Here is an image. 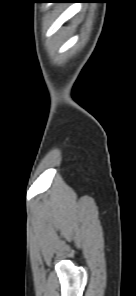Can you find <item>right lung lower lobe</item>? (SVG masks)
<instances>
[{
  "label": "right lung lower lobe",
  "instance_id": "1",
  "mask_svg": "<svg viewBox=\"0 0 136 296\" xmlns=\"http://www.w3.org/2000/svg\"><path fill=\"white\" fill-rule=\"evenodd\" d=\"M71 1H73V0H62V1H60V3H68V2H71Z\"/></svg>",
  "mask_w": 136,
  "mask_h": 296
}]
</instances>
